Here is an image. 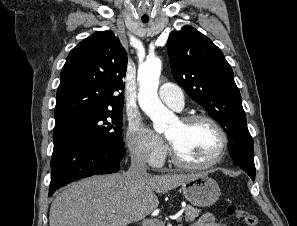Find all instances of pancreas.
I'll list each match as a JSON object with an SVG mask.
<instances>
[{
    "label": "pancreas",
    "mask_w": 297,
    "mask_h": 226,
    "mask_svg": "<svg viewBox=\"0 0 297 226\" xmlns=\"http://www.w3.org/2000/svg\"><path fill=\"white\" fill-rule=\"evenodd\" d=\"M201 212L200 209L194 208L191 205H187L185 207V220L186 221H194ZM149 226H165V224L162 221H158L156 223L150 224Z\"/></svg>",
    "instance_id": "cf45deb5"
}]
</instances>
